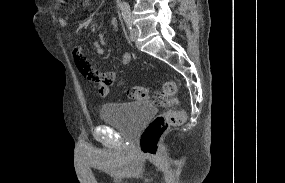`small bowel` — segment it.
Segmentation results:
<instances>
[{"label": "small bowel", "mask_w": 285, "mask_h": 183, "mask_svg": "<svg viewBox=\"0 0 285 183\" xmlns=\"http://www.w3.org/2000/svg\"><path fill=\"white\" fill-rule=\"evenodd\" d=\"M59 24L62 28L67 27V24H68L67 19L65 17H61L59 19ZM114 26L116 28V25H114ZM93 47L95 49L96 54H98V55L104 54L105 51H104V48L100 42H95L93 44ZM73 54H74V59H75L76 65L79 63H84L90 67L92 73L95 76V79L90 80V81H92L98 85V94L101 97H106L109 93V87L115 81L116 72L115 71L101 72V71H98L95 68H93L83 54V46L82 45L76 46L74 51H73ZM130 60H131L130 54L124 53L121 61L117 64V69H120V68L126 66L130 62Z\"/></svg>", "instance_id": "c3829d8e"}]
</instances>
